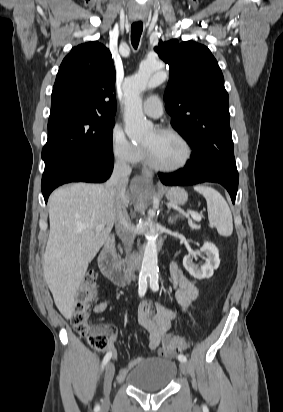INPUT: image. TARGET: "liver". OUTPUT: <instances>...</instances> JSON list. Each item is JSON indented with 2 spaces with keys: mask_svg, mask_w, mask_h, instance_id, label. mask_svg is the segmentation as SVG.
<instances>
[{
  "mask_svg": "<svg viewBox=\"0 0 283 412\" xmlns=\"http://www.w3.org/2000/svg\"><path fill=\"white\" fill-rule=\"evenodd\" d=\"M123 185L125 207L130 198ZM115 187L76 183L54 191L49 197L50 233L43 257L45 281L54 302L66 318L74 310L77 289L89 263L108 238L116 220ZM89 226L80 229V225ZM99 225L104 228L97 231Z\"/></svg>",
  "mask_w": 283,
  "mask_h": 412,
  "instance_id": "obj_1",
  "label": "liver"
}]
</instances>
